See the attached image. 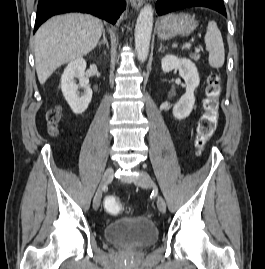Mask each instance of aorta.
<instances>
[{
    "label": "aorta",
    "instance_id": "obj_1",
    "mask_svg": "<svg viewBox=\"0 0 265 269\" xmlns=\"http://www.w3.org/2000/svg\"><path fill=\"white\" fill-rule=\"evenodd\" d=\"M153 28V8L145 5L137 18L135 26V50L139 61L144 62L149 54Z\"/></svg>",
    "mask_w": 265,
    "mask_h": 269
}]
</instances>
